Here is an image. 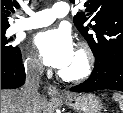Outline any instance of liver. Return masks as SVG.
<instances>
[{
    "mask_svg": "<svg viewBox=\"0 0 123 113\" xmlns=\"http://www.w3.org/2000/svg\"><path fill=\"white\" fill-rule=\"evenodd\" d=\"M43 100L38 96L31 111L41 113ZM22 90H1V113H25Z\"/></svg>",
    "mask_w": 123,
    "mask_h": 113,
    "instance_id": "obj_1",
    "label": "liver"
}]
</instances>
